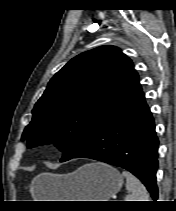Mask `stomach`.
<instances>
[{
  "mask_svg": "<svg viewBox=\"0 0 176 211\" xmlns=\"http://www.w3.org/2000/svg\"><path fill=\"white\" fill-rule=\"evenodd\" d=\"M122 185L116 168L96 162L69 174H40L33 181V194L42 201H108Z\"/></svg>",
  "mask_w": 176,
  "mask_h": 211,
  "instance_id": "0dacf381",
  "label": "stomach"
}]
</instances>
